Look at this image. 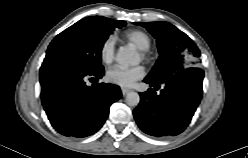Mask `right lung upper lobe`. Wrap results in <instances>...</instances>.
I'll list each match as a JSON object with an SVG mask.
<instances>
[{
	"instance_id": "1",
	"label": "right lung upper lobe",
	"mask_w": 248,
	"mask_h": 158,
	"mask_svg": "<svg viewBox=\"0 0 248 158\" xmlns=\"http://www.w3.org/2000/svg\"><path fill=\"white\" fill-rule=\"evenodd\" d=\"M100 18H105V17H101V16H99ZM107 19H109V18H107ZM109 20H111V19H109Z\"/></svg>"
}]
</instances>
